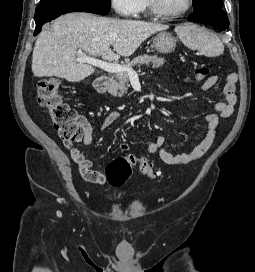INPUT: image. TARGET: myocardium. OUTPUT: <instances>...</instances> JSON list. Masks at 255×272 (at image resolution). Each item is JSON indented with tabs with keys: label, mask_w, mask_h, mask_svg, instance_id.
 <instances>
[{
	"label": "myocardium",
	"mask_w": 255,
	"mask_h": 272,
	"mask_svg": "<svg viewBox=\"0 0 255 272\" xmlns=\"http://www.w3.org/2000/svg\"><path fill=\"white\" fill-rule=\"evenodd\" d=\"M149 11L156 17L173 19L185 15L193 6V0L187 1V6L181 11L169 13L161 9L159 0H147Z\"/></svg>",
	"instance_id": "f54148a6"
}]
</instances>
